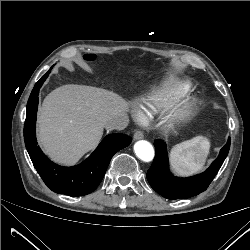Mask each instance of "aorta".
<instances>
[{
  "mask_svg": "<svg viewBox=\"0 0 250 250\" xmlns=\"http://www.w3.org/2000/svg\"><path fill=\"white\" fill-rule=\"evenodd\" d=\"M134 151L137 157L145 162H150L154 158V149L152 145L145 140L136 142Z\"/></svg>",
  "mask_w": 250,
  "mask_h": 250,
  "instance_id": "obj_1",
  "label": "aorta"
}]
</instances>
